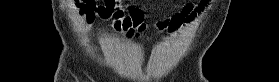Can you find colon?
<instances>
[{
  "label": "colon",
  "instance_id": "1",
  "mask_svg": "<svg viewBox=\"0 0 279 82\" xmlns=\"http://www.w3.org/2000/svg\"><path fill=\"white\" fill-rule=\"evenodd\" d=\"M142 12L140 9L132 8L128 11L127 16L124 19V22L127 25H130L132 28H139L142 24Z\"/></svg>",
  "mask_w": 279,
  "mask_h": 82
}]
</instances>
